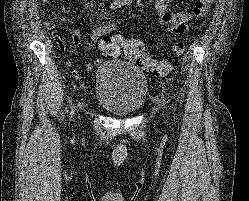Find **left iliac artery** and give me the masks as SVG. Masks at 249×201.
I'll list each match as a JSON object with an SVG mask.
<instances>
[{"label": "left iliac artery", "mask_w": 249, "mask_h": 201, "mask_svg": "<svg viewBox=\"0 0 249 201\" xmlns=\"http://www.w3.org/2000/svg\"><path fill=\"white\" fill-rule=\"evenodd\" d=\"M130 3V0H128L127 2H126V4L128 5Z\"/></svg>", "instance_id": "left-iliac-artery-1"}]
</instances>
